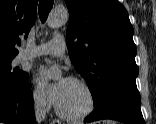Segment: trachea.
Masks as SVG:
<instances>
[{
  "label": "trachea",
  "instance_id": "obj_1",
  "mask_svg": "<svg viewBox=\"0 0 156 124\" xmlns=\"http://www.w3.org/2000/svg\"><path fill=\"white\" fill-rule=\"evenodd\" d=\"M53 7V0H39V16L44 23Z\"/></svg>",
  "mask_w": 156,
  "mask_h": 124
}]
</instances>
